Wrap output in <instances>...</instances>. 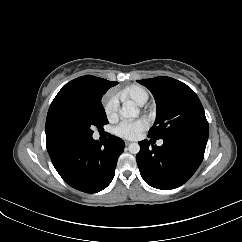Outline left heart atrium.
<instances>
[{
	"label": "left heart atrium",
	"mask_w": 242,
	"mask_h": 242,
	"mask_svg": "<svg viewBox=\"0 0 242 242\" xmlns=\"http://www.w3.org/2000/svg\"><path fill=\"white\" fill-rule=\"evenodd\" d=\"M148 126L149 124L145 119L123 121L114 128V134L124 139L135 140Z\"/></svg>",
	"instance_id": "1"
}]
</instances>
